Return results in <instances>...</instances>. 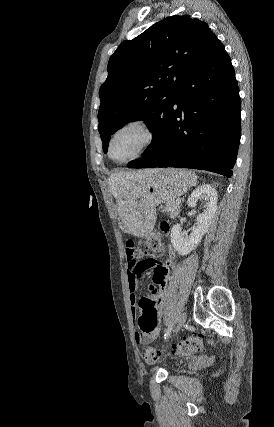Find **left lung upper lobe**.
Returning a JSON list of instances; mask_svg holds the SVG:
<instances>
[{
  "instance_id": "1",
  "label": "left lung upper lobe",
  "mask_w": 274,
  "mask_h": 427,
  "mask_svg": "<svg viewBox=\"0 0 274 427\" xmlns=\"http://www.w3.org/2000/svg\"><path fill=\"white\" fill-rule=\"evenodd\" d=\"M213 37L206 22L175 15L119 45L109 59L108 77L99 90L104 153L111 135L133 120L145 121L154 137L146 151L153 146L182 79Z\"/></svg>"
}]
</instances>
